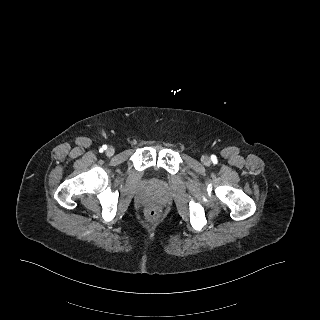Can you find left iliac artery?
Returning <instances> with one entry per match:
<instances>
[{
  "mask_svg": "<svg viewBox=\"0 0 320 320\" xmlns=\"http://www.w3.org/2000/svg\"><path fill=\"white\" fill-rule=\"evenodd\" d=\"M215 158H216L215 156H212V157H211V159H212L213 161H215Z\"/></svg>",
  "mask_w": 320,
  "mask_h": 320,
  "instance_id": "left-iliac-artery-1",
  "label": "left iliac artery"
}]
</instances>
